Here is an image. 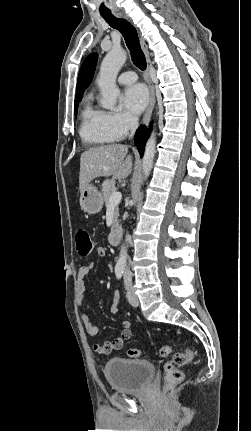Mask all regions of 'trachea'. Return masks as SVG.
<instances>
[{"mask_svg": "<svg viewBox=\"0 0 251 431\" xmlns=\"http://www.w3.org/2000/svg\"><path fill=\"white\" fill-rule=\"evenodd\" d=\"M102 17L113 28L117 29L125 39L131 58L140 70L146 69V58L141 49L136 29L125 19L116 18L112 14H103Z\"/></svg>", "mask_w": 251, "mask_h": 431, "instance_id": "obj_1", "label": "trachea"}]
</instances>
